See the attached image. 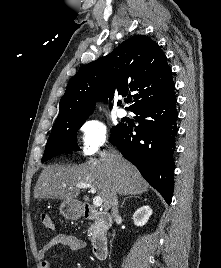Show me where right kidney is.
Masks as SVG:
<instances>
[{"mask_svg":"<svg viewBox=\"0 0 221 268\" xmlns=\"http://www.w3.org/2000/svg\"><path fill=\"white\" fill-rule=\"evenodd\" d=\"M152 215V209L149 206H142L133 214V222L136 226L142 227L145 225L149 217Z\"/></svg>","mask_w":221,"mask_h":268,"instance_id":"right-kidney-1","label":"right kidney"}]
</instances>
